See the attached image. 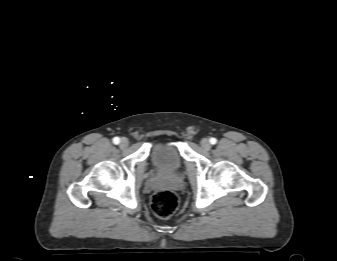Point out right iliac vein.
Returning <instances> with one entry per match:
<instances>
[{
    "label": "right iliac vein",
    "instance_id": "63e3f726",
    "mask_svg": "<svg viewBox=\"0 0 337 261\" xmlns=\"http://www.w3.org/2000/svg\"><path fill=\"white\" fill-rule=\"evenodd\" d=\"M129 145V141L127 138H122L120 141V147L121 148H126Z\"/></svg>",
    "mask_w": 337,
    "mask_h": 261
}]
</instances>
